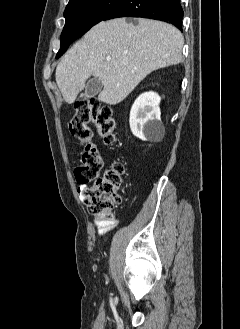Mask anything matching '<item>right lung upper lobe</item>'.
<instances>
[{"instance_id": "obj_1", "label": "right lung upper lobe", "mask_w": 240, "mask_h": 329, "mask_svg": "<svg viewBox=\"0 0 240 329\" xmlns=\"http://www.w3.org/2000/svg\"><path fill=\"white\" fill-rule=\"evenodd\" d=\"M73 1H74V0H69V3H70V2H73Z\"/></svg>"}]
</instances>
